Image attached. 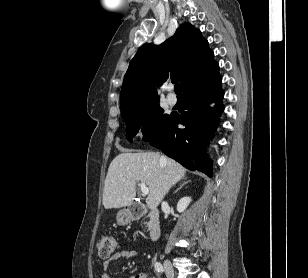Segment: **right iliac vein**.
<instances>
[{
	"label": "right iliac vein",
	"mask_w": 308,
	"mask_h": 278,
	"mask_svg": "<svg viewBox=\"0 0 308 278\" xmlns=\"http://www.w3.org/2000/svg\"><path fill=\"white\" fill-rule=\"evenodd\" d=\"M164 270L167 275V278H174V269L171 262L168 259L164 261Z\"/></svg>",
	"instance_id": "1"
}]
</instances>
